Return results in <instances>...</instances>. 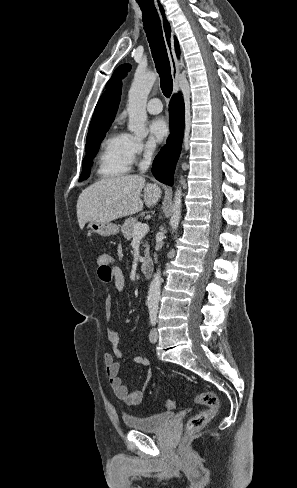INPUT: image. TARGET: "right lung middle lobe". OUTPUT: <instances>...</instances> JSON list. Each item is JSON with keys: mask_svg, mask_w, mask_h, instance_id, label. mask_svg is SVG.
<instances>
[{"mask_svg": "<svg viewBox=\"0 0 297 488\" xmlns=\"http://www.w3.org/2000/svg\"><path fill=\"white\" fill-rule=\"evenodd\" d=\"M110 125L111 123L98 126L87 135L85 146L86 156L83 159V169L79 181L85 180L89 177L92 159L95 157L99 149L100 142L102 139H104Z\"/></svg>", "mask_w": 297, "mask_h": 488, "instance_id": "right-lung-middle-lobe-1", "label": "right lung middle lobe"}]
</instances>
